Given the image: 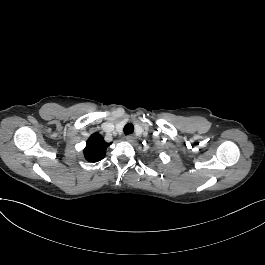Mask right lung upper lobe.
I'll use <instances>...</instances> for the list:
<instances>
[{
  "mask_svg": "<svg viewBox=\"0 0 265 265\" xmlns=\"http://www.w3.org/2000/svg\"><path fill=\"white\" fill-rule=\"evenodd\" d=\"M111 143H106L99 133H94L87 140L84 156L89 162H97L105 157L106 149Z\"/></svg>",
  "mask_w": 265,
  "mask_h": 265,
  "instance_id": "obj_1",
  "label": "right lung upper lobe"
}]
</instances>
